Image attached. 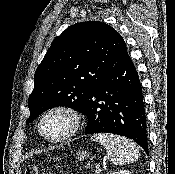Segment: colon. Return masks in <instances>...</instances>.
Here are the masks:
<instances>
[{
  "label": "colon",
  "instance_id": "colon-1",
  "mask_svg": "<svg viewBox=\"0 0 175 174\" xmlns=\"http://www.w3.org/2000/svg\"><path fill=\"white\" fill-rule=\"evenodd\" d=\"M25 174H39V171L35 166H29L27 167Z\"/></svg>",
  "mask_w": 175,
  "mask_h": 174
}]
</instances>
